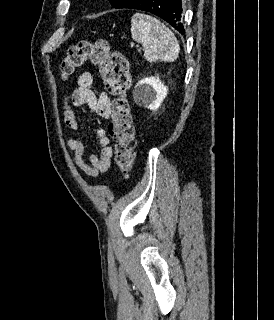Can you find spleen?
Wrapping results in <instances>:
<instances>
[{
  "label": "spleen",
  "instance_id": "obj_1",
  "mask_svg": "<svg viewBox=\"0 0 274 320\" xmlns=\"http://www.w3.org/2000/svg\"><path fill=\"white\" fill-rule=\"evenodd\" d=\"M131 34L134 42L142 44L147 62L177 60L180 50L178 40L157 18L146 14H134L131 20Z\"/></svg>",
  "mask_w": 274,
  "mask_h": 320
}]
</instances>
